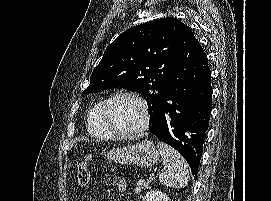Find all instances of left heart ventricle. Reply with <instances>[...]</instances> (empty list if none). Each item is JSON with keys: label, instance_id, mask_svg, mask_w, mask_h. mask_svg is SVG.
<instances>
[{"label": "left heart ventricle", "instance_id": "b2bd125f", "mask_svg": "<svg viewBox=\"0 0 271 201\" xmlns=\"http://www.w3.org/2000/svg\"><path fill=\"white\" fill-rule=\"evenodd\" d=\"M109 113L114 126L122 131L136 129L143 119L141 106L130 97L115 99L110 106Z\"/></svg>", "mask_w": 271, "mask_h": 201}]
</instances>
